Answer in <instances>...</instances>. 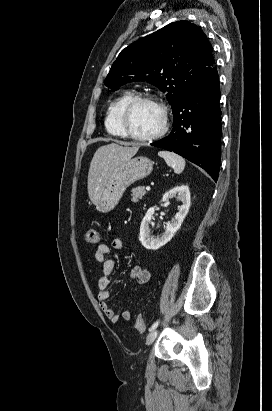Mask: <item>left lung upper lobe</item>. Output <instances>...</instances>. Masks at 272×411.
Listing matches in <instances>:
<instances>
[{
    "mask_svg": "<svg viewBox=\"0 0 272 411\" xmlns=\"http://www.w3.org/2000/svg\"><path fill=\"white\" fill-rule=\"evenodd\" d=\"M213 65L212 46L204 32L188 21H177L122 50L104 83L115 90L147 81L166 92L174 110Z\"/></svg>",
    "mask_w": 272,
    "mask_h": 411,
    "instance_id": "5c2ea615",
    "label": "left lung upper lobe"
}]
</instances>
